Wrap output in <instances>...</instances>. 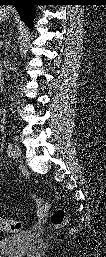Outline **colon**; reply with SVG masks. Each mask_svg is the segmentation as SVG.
Wrapping results in <instances>:
<instances>
[{"label":"colon","instance_id":"obj_1","mask_svg":"<svg viewBox=\"0 0 106 257\" xmlns=\"http://www.w3.org/2000/svg\"><path fill=\"white\" fill-rule=\"evenodd\" d=\"M51 224L54 228H62L66 224V212L64 209H56L51 215ZM23 228V223L17 220L1 219L0 229L4 232L15 233Z\"/></svg>","mask_w":106,"mask_h":257}]
</instances>
